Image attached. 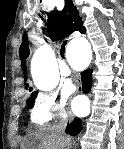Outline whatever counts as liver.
<instances>
[{
	"label": "liver",
	"instance_id": "obj_1",
	"mask_svg": "<svg viewBox=\"0 0 124 149\" xmlns=\"http://www.w3.org/2000/svg\"><path fill=\"white\" fill-rule=\"evenodd\" d=\"M25 141L28 147L37 146L38 149H62L67 143V139L54 128H41L31 133Z\"/></svg>",
	"mask_w": 124,
	"mask_h": 149
}]
</instances>
